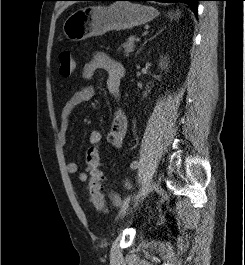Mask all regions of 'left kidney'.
Wrapping results in <instances>:
<instances>
[{
    "label": "left kidney",
    "instance_id": "obj_1",
    "mask_svg": "<svg viewBox=\"0 0 245 265\" xmlns=\"http://www.w3.org/2000/svg\"><path fill=\"white\" fill-rule=\"evenodd\" d=\"M159 66L161 67V69L167 68L166 58L161 60V62L159 63Z\"/></svg>",
    "mask_w": 245,
    "mask_h": 265
}]
</instances>
